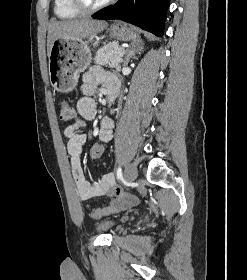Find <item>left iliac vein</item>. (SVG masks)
I'll use <instances>...</instances> for the list:
<instances>
[{"mask_svg": "<svg viewBox=\"0 0 247 280\" xmlns=\"http://www.w3.org/2000/svg\"><path fill=\"white\" fill-rule=\"evenodd\" d=\"M125 179L128 182H133L136 180L137 176H138V170L136 165L134 164H128L126 169H125V173H124Z\"/></svg>", "mask_w": 247, "mask_h": 280, "instance_id": "left-iliac-vein-1", "label": "left iliac vein"}]
</instances>
